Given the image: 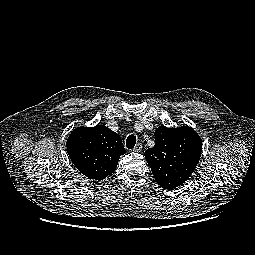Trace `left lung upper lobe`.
<instances>
[{"mask_svg": "<svg viewBox=\"0 0 255 255\" xmlns=\"http://www.w3.org/2000/svg\"><path fill=\"white\" fill-rule=\"evenodd\" d=\"M153 148L145 158L160 187L175 189L183 185L194 172L202 152L200 136L190 127L156 129Z\"/></svg>", "mask_w": 255, "mask_h": 255, "instance_id": "1", "label": "left lung upper lobe"}]
</instances>
